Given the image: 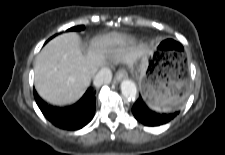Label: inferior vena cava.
I'll use <instances>...</instances> for the list:
<instances>
[{
    "instance_id": "obj_1",
    "label": "inferior vena cava",
    "mask_w": 225,
    "mask_h": 155,
    "mask_svg": "<svg viewBox=\"0 0 225 155\" xmlns=\"http://www.w3.org/2000/svg\"><path fill=\"white\" fill-rule=\"evenodd\" d=\"M112 80V72L109 68H102L94 76V85L101 86L103 84H109Z\"/></svg>"
}]
</instances>
